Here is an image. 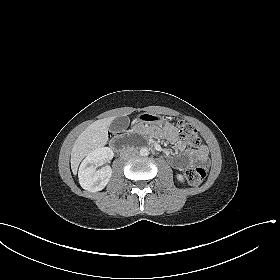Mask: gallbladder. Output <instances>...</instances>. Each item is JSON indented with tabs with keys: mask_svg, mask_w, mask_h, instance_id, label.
I'll list each match as a JSON object with an SVG mask.
<instances>
[{
	"mask_svg": "<svg viewBox=\"0 0 280 280\" xmlns=\"http://www.w3.org/2000/svg\"><path fill=\"white\" fill-rule=\"evenodd\" d=\"M129 122L130 120L128 117L123 115L118 116L112 121L111 125L109 126V129L113 133L122 132L128 127Z\"/></svg>",
	"mask_w": 280,
	"mask_h": 280,
	"instance_id": "1",
	"label": "gallbladder"
}]
</instances>
